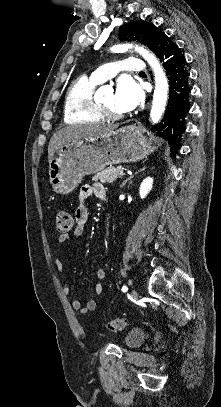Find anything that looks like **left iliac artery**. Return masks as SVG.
Returning <instances> with one entry per match:
<instances>
[{"label":"left iliac artery","instance_id":"44dca946","mask_svg":"<svg viewBox=\"0 0 221 407\" xmlns=\"http://www.w3.org/2000/svg\"><path fill=\"white\" fill-rule=\"evenodd\" d=\"M128 290V288L126 287V286H124L123 288H122V291L123 292H126Z\"/></svg>","mask_w":221,"mask_h":407}]
</instances>
